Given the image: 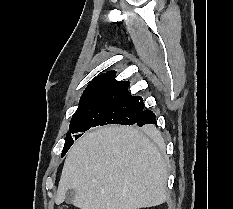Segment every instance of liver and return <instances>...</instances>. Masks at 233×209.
<instances>
[{"mask_svg": "<svg viewBox=\"0 0 233 209\" xmlns=\"http://www.w3.org/2000/svg\"><path fill=\"white\" fill-rule=\"evenodd\" d=\"M148 131L155 133L154 128ZM167 165L140 130L105 126L84 134L69 150L55 198L79 209H140L167 200Z\"/></svg>", "mask_w": 233, "mask_h": 209, "instance_id": "obj_1", "label": "liver"}]
</instances>
